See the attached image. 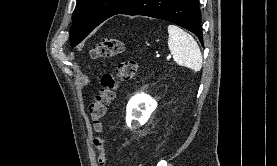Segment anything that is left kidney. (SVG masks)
Returning <instances> with one entry per match:
<instances>
[{
  "instance_id": "5707ae66",
  "label": "left kidney",
  "mask_w": 277,
  "mask_h": 166,
  "mask_svg": "<svg viewBox=\"0 0 277 166\" xmlns=\"http://www.w3.org/2000/svg\"><path fill=\"white\" fill-rule=\"evenodd\" d=\"M157 102L145 93L133 96L126 107V123L130 128L144 125L152 112L156 109Z\"/></svg>"
}]
</instances>
